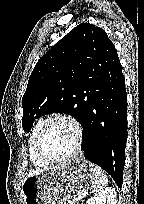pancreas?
Returning a JSON list of instances; mask_svg holds the SVG:
<instances>
[{"label": "pancreas", "instance_id": "pancreas-1", "mask_svg": "<svg viewBox=\"0 0 144 204\" xmlns=\"http://www.w3.org/2000/svg\"><path fill=\"white\" fill-rule=\"evenodd\" d=\"M67 204H75L73 201H68Z\"/></svg>", "mask_w": 144, "mask_h": 204}]
</instances>
